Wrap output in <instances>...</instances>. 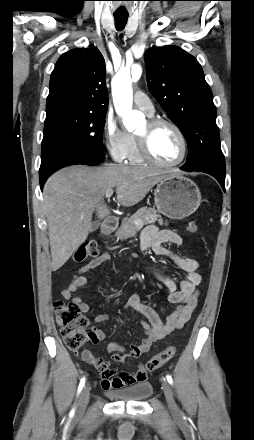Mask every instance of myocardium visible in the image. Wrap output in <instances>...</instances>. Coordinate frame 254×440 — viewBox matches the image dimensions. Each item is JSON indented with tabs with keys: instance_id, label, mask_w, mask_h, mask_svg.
Listing matches in <instances>:
<instances>
[{
	"instance_id": "f54148a6",
	"label": "myocardium",
	"mask_w": 254,
	"mask_h": 440,
	"mask_svg": "<svg viewBox=\"0 0 254 440\" xmlns=\"http://www.w3.org/2000/svg\"><path fill=\"white\" fill-rule=\"evenodd\" d=\"M148 126H149V133L146 135H137V143H138V148L140 151V154L142 156V158L159 167H164V168H171V167H176L178 165H180L181 163H183V161L186 159L187 153H188V143H187V139L185 134L183 133V131L181 130V128L174 123L173 121L166 119V118H151L148 120ZM162 125H166L171 127L178 135L181 144H182V152H181V156L180 158L172 163H165L160 161L159 159H157L154 154L152 153L151 147H150V138H151V132L154 131L156 128H158L159 126Z\"/></svg>"
}]
</instances>
